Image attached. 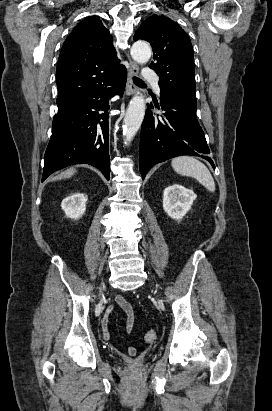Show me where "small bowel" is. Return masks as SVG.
Instances as JSON below:
<instances>
[{
    "instance_id": "1",
    "label": "small bowel",
    "mask_w": 272,
    "mask_h": 411,
    "mask_svg": "<svg viewBox=\"0 0 272 411\" xmlns=\"http://www.w3.org/2000/svg\"><path fill=\"white\" fill-rule=\"evenodd\" d=\"M115 302L125 312V314H126V330H127L128 333H131L132 329H133V325H134V319H135L134 311H133L132 306L130 305V303L128 301H126V299L124 297H122L120 295L116 297ZM112 308L113 307H110L109 311H111ZM102 335H103V339L105 341H109L110 334H109L108 329H107L106 318L102 322ZM127 353L129 355H133L135 353V349L132 348V347H129L127 349Z\"/></svg>"
}]
</instances>
